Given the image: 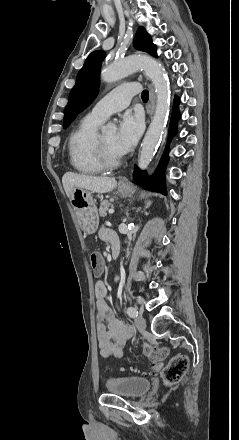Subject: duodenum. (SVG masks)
<instances>
[{
    "label": "duodenum",
    "mask_w": 239,
    "mask_h": 440,
    "mask_svg": "<svg viewBox=\"0 0 239 440\" xmlns=\"http://www.w3.org/2000/svg\"><path fill=\"white\" fill-rule=\"evenodd\" d=\"M111 255L113 258L117 257L119 255V244L118 242H114L111 245Z\"/></svg>",
    "instance_id": "410a0bca"
}]
</instances>
